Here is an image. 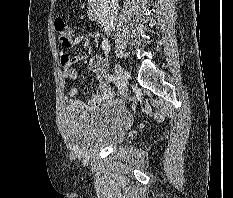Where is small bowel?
<instances>
[{
  "instance_id": "obj_1",
  "label": "small bowel",
  "mask_w": 233,
  "mask_h": 198,
  "mask_svg": "<svg viewBox=\"0 0 233 198\" xmlns=\"http://www.w3.org/2000/svg\"><path fill=\"white\" fill-rule=\"evenodd\" d=\"M79 43L83 49L82 52L76 53L75 55H70L67 49L71 48L74 44ZM62 50L60 53L61 63L64 67L65 77L70 80H77L78 73L74 65L85 59L89 58L88 70L96 74L98 79L97 91L92 95V97L87 101L83 102L77 100L75 97L78 94V87L74 86L69 91L70 101L69 107L73 110H92L97 105L112 99L113 90L111 85L107 80V72L104 58L99 55L90 56V40L88 36H82L77 41L73 42L71 47H66L62 43Z\"/></svg>"
}]
</instances>
